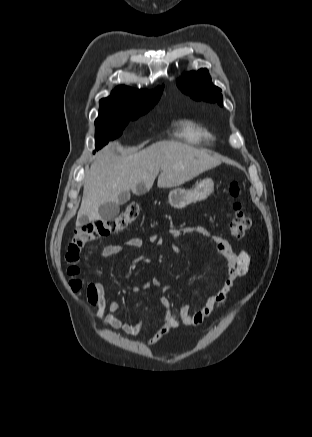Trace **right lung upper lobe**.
Instances as JSON below:
<instances>
[{
  "label": "right lung upper lobe",
  "instance_id": "cb5924a9",
  "mask_svg": "<svg viewBox=\"0 0 312 437\" xmlns=\"http://www.w3.org/2000/svg\"><path fill=\"white\" fill-rule=\"evenodd\" d=\"M163 87L155 92L119 86L111 96L100 100L99 115L135 117L152 108L159 100Z\"/></svg>",
  "mask_w": 312,
  "mask_h": 437
}]
</instances>
